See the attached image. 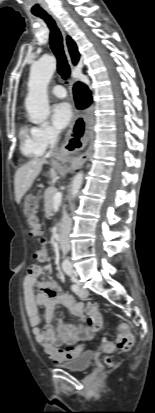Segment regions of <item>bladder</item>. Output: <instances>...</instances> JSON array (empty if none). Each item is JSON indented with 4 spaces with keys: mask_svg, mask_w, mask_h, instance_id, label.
Here are the masks:
<instances>
[{
    "mask_svg": "<svg viewBox=\"0 0 155 413\" xmlns=\"http://www.w3.org/2000/svg\"><path fill=\"white\" fill-rule=\"evenodd\" d=\"M92 363L93 353L86 351L78 354L66 363L59 364L58 367L73 372H84L92 365Z\"/></svg>",
    "mask_w": 155,
    "mask_h": 413,
    "instance_id": "31cf9c89",
    "label": "bladder"
}]
</instances>
